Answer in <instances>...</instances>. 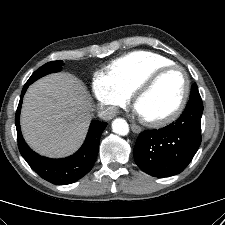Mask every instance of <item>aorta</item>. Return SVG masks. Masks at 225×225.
<instances>
[{"mask_svg": "<svg viewBox=\"0 0 225 225\" xmlns=\"http://www.w3.org/2000/svg\"><path fill=\"white\" fill-rule=\"evenodd\" d=\"M112 129L114 133L122 136H125L129 133V125L123 118H116L112 122Z\"/></svg>", "mask_w": 225, "mask_h": 225, "instance_id": "762f6f07", "label": "aorta"}]
</instances>
